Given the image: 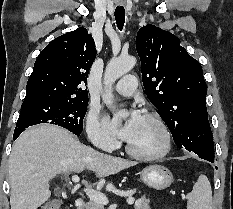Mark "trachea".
I'll list each match as a JSON object with an SVG mask.
<instances>
[{"label":"trachea","mask_w":233,"mask_h":209,"mask_svg":"<svg viewBox=\"0 0 233 209\" xmlns=\"http://www.w3.org/2000/svg\"><path fill=\"white\" fill-rule=\"evenodd\" d=\"M115 20L118 29L121 31L125 23V10L124 7H116L115 9Z\"/></svg>","instance_id":"obj_1"}]
</instances>
